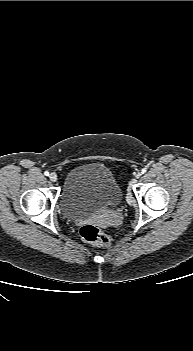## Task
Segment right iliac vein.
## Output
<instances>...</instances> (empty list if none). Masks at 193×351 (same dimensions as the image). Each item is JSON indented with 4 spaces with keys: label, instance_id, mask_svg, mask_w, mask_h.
I'll use <instances>...</instances> for the list:
<instances>
[{
    "label": "right iliac vein",
    "instance_id": "1",
    "mask_svg": "<svg viewBox=\"0 0 193 351\" xmlns=\"http://www.w3.org/2000/svg\"><path fill=\"white\" fill-rule=\"evenodd\" d=\"M49 179H50L52 182H56L57 179H58V177H57V175H56L55 173H51V174L49 175Z\"/></svg>",
    "mask_w": 193,
    "mask_h": 351
}]
</instances>
